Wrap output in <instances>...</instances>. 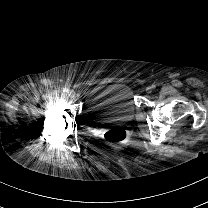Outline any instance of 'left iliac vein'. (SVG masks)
Instances as JSON below:
<instances>
[{"label": "left iliac vein", "instance_id": "left-iliac-vein-1", "mask_svg": "<svg viewBox=\"0 0 208 208\" xmlns=\"http://www.w3.org/2000/svg\"><path fill=\"white\" fill-rule=\"evenodd\" d=\"M146 92H147V93H151V92H152V87H147V88H146Z\"/></svg>", "mask_w": 208, "mask_h": 208}]
</instances>
